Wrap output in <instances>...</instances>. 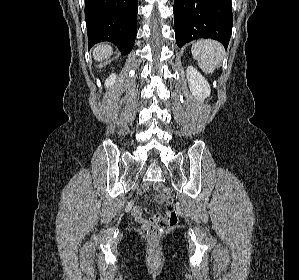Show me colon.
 Here are the masks:
<instances>
[{"instance_id": "5ec220e1", "label": "colon", "mask_w": 299, "mask_h": 280, "mask_svg": "<svg viewBox=\"0 0 299 280\" xmlns=\"http://www.w3.org/2000/svg\"><path fill=\"white\" fill-rule=\"evenodd\" d=\"M159 192L156 200L164 204L165 214L155 215L151 218V222L146 227L147 233L151 238H158L165 228L173 226L178 222L172 198L167 194L166 189L162 185H159Z\"/></svg>"}]
</instances>
